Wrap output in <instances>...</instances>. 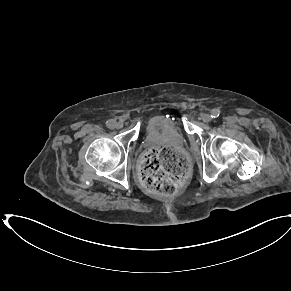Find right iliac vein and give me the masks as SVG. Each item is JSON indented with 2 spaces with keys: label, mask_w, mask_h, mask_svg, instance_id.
Returning <instances> with one entry per match:
<instances>
[{
  "label": "right iliac vein",
  "mask_w": 291,
  "mask_h": 291,
  "mask_svg": "<svg viewBox=\"0 0 291 291\" xmlns=\"http://www.w3.org/2000/svg\"><path fill=\"white\" fill-rule=\"evenodd\" d=\"M115 128H117V129L123 128V123L122 122H116Z\"/></svg>",
  "instance_id": "1"
}]
</instances>
